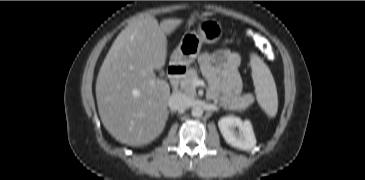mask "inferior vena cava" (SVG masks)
Wrapping results in <instances>:
<instances>
[{
    "instance_id": "obj_1",
    "label": "inferior vena cava",
    "mask_w": 365,
    "mask_h": 180,
    "mask_svg": "<svg viewBox=\"0 0 365 180\" xmlns=\"http://www.w3.org/2000/svg\"><path fill=\"white\" fill-rule=\"evenodd\" d=\"M168 105L172 111L183 110L189 107L190 99L182 93H174L169 97Z\"/></svg>"
}]
</instances>
